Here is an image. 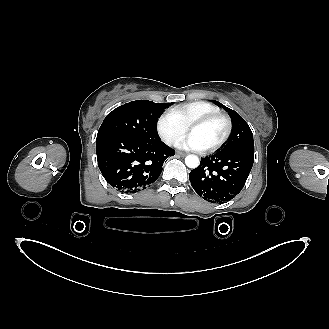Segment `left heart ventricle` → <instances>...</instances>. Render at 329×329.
Wrapping results in <instances>:
<instances>
[{"label":"left heart ventricle","mask_w":329,"mask_h":329,"mask_svg":"<svg viewBox=\"0 0 329 329\" xmlns=\"http://www.w3.org/2000/svg\"><path fill=\"white\" fill-rule=\"evenodd\" d=\"M225 123L223 120L216 119L204 125L192 128L189 133L196 136L204 149L215 145L225 133Z\"/></svg>","instance_id":"b2bd125f"}]
</instances>
